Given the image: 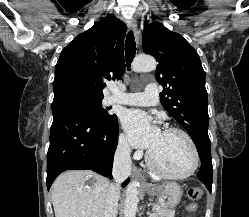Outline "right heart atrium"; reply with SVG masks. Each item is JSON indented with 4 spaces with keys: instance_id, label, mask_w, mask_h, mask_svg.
Wrapping results in <instances>:
<instances>
[{
    "instance_id": "d8ad5b80",
    "label": "right heart atrium",
    "mask_w": 249,
    "mask_h": 217,
    "mask_svg": "<svg viewBox=\"0 0 249 217\" xmlns=\"http://www.w3.org/2000/svg\"><path fill=\"white\" fill-rule=\"evenodd\" d=\"M118 149L123 155H128L130 147L127 141V138L124 134L119 135L118 139Z\"/></svg>"
}]
</instances>
